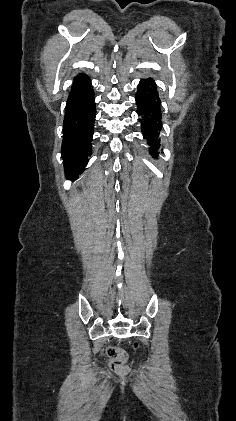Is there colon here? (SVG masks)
<instances>
[{
    "mask_svg": "<svg viewBox=\"0 0 236 421\" xmlns=\"http://www.w3.org/2000/svg\"><path fill=\"white\" fill-rule=\"evenodd\" d=\"M106 354L111 358V368L117 374L124 375L129 372V367L126 365L127 354L116 347H108Z\"/></svg>",
    "mask_w": 236,
    "mask_h": 421,
    "instance_id": "1",
    "label": "colon"
}]
</instances>
